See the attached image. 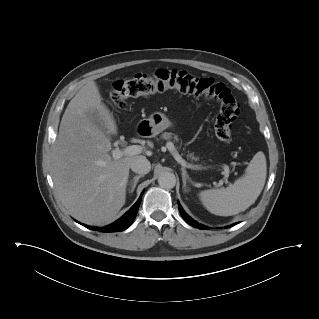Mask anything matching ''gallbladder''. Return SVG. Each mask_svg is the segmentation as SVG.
Returning <instances> with one entry per match:
<instances>
[{"label": "gallbladder", "mask_w": 319, "mask_h": 319, "mask_svg": "<svg viewBox=\"0 0 319 319\" xmlns=\"http://www.w3.org/2000/svg\"><path fill=\"white\" fill-rule=\"evenodd\" d=\"M92 119L93 122L102 130V131H107L106 126L104 122L100 119V117L97 115L96 112L92 114Z\"/></svg>", "instance_id": "obj_1"}]
</instances>
